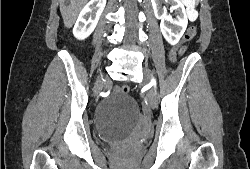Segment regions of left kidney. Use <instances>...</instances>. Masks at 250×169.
I'll list each match as a JSON object with an SVG mask.
<instances>
[{
	"label": "left kidney",
	"mask_w": 250,
	"mask_h": 169,
	"mask_svg": "<svg viewBox=\"0 0 250 169\" xmlns=\"http://www.w3.org/2000/svg\"><path fill=\"white\" fill-rule=\"evenodd\" d=\"M151 2L156 18H161L160 28L164 38H166L167 42H170V44H176V42L180 40L182 34H184L188 24L184 4H182L181 0H167L169 4H172L171 8L176 10V18H172V16H168L165 8H162V0H151ZM171 24H176L177 26V30H174V32Z\"/></svg>",
	"instance_id": "5707ae66"
}]
</instances>
